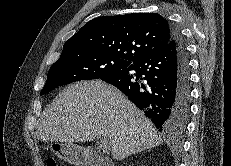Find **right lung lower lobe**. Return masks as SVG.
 I'll return each mask as SVG.
<instances>
[{"label":"right lung lower lobe","mask_w":231,"mask_h":166,"mask_svg":"<svg viewBox=\"0 0 231 166\" xmlns=\"http://www.w3.org/2000/svg\"><path fill=\"white\" fill-rule=\"evenodd\" d=\"M100 79L122 91L159 131L168 135L184 132L191 98L190 72L186 46L175 27L165 48Z\"/></svg>","instance_id":"obj_1"}]
</instances>
